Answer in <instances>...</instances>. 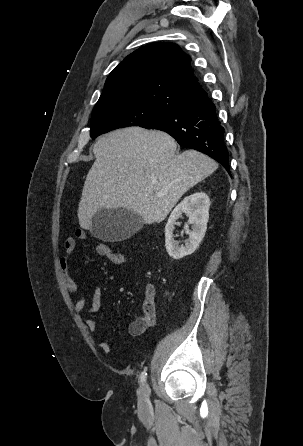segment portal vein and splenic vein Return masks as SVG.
<instances>
[{
	"instance_id": "1",
	"label": "portal vein and splenic vein",
	"mask_w": 303,
	"mask_h": 446,
	"mask_svg": "<svg viewBox=\"0 0 303 446\" xmlns=\"http://www.w3.org/2000/svg\"><path fill=\"white\" fill-rule=\"evenodd\" d=\"M156 195L157 196H162V193L157 192Z\"/></svg>"
}]
</instances>
